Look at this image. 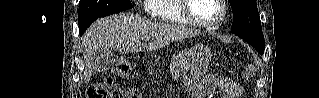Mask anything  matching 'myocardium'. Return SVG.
I'll return each instance as SVG.
<instances>
[{
  "mask_svg": "<svg viewBox=\"0 0 319 98\" xmlns=\"http://www.w3.org/2000/svg\"><path fill=\"white\" fill-rule=\"evenodd\" d=\"M190 1L180 0V8H181L183 16L191 25H194L200 28L214 29V28H217L219 25H221L225 21L227 17V5L225 0H217L221 6L222 11H221L220 17L213 22H204L196 18L190 11Z\"/></svg>",
  "mask_w": 319,
  "mask_h": 98,
  "instance_id": "1",
  "label": "myocardium"
}]
</instances>
